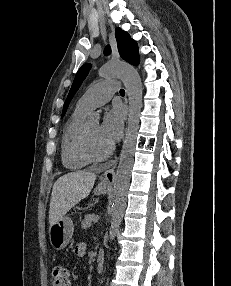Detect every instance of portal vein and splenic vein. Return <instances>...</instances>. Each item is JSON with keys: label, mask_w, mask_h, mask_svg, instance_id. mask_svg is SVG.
Instances as JSON below:
<instances>
[{"label": "portal vein and splenic vein", "mask_w": 231, "mask_h": 286, "mask_svg": "<svg viewBox=\"0 0 231 286\" xmlns=\"http://www.w3.org/2000/svg\"><path fill=\"white\" fill-rule=\"evenodd\" d=\"M98 220H99V216H98V215H95L94 218H93V222L96 223V222H98Z\"/></svg>", "instance_id": "portal-vein-and-splenic-vein-1"}]
</instances>
